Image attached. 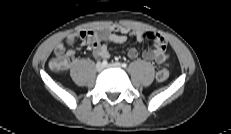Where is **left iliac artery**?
<instances>
[{
	"instance_id": "44dca946",
	"label": "left iliac artery",
	"mask_w": 231,
	"mask_h": 134,
	"mask_svg": "<svg viewBox=\"0 0 231 134\" xmlns=\"http://www.w3.org/2000/svg\"><path fill=\"white\" fill-rule=\"evenodd\" d=\"M122 67H123V68H126V67H127V64H126V63H123V64H122Z\"/></svg>"
}]
</instances>
